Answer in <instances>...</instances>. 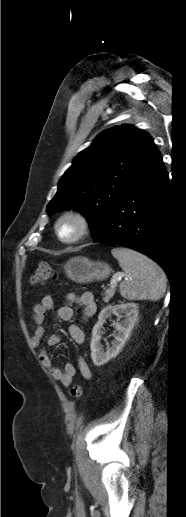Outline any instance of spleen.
I'll list each match as a JSON object with an SVG mask.
<instances>
[{"instance_id": "spleen-1", "label": "spleen", "mask_w": 186, "mask_h": 517, "mask_svg": "<svg viewBox=\"0 0 186 517\" xmlns=\"http://www.w3.org/2000/svg\"><path fill=\"white\" fill-rule=\"evenodd\" d=\"M112 255L127 274L120 294L128 300H159L166 291L164 271L148 257L127 248H114Z\"/></svg>"}]
</instances>
